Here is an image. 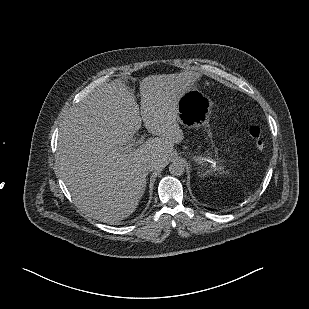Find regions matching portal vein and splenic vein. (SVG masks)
Segmentation results:
<instances>
[{
	"label": "portal vein and splenic vein",
	"instance_id": "portal-vein-and-splenic-vein-1",
	"mask_svg": "<svg viewBox=\"0 0 309 309\" xmlns=\"http://www.w3.org/2000/svg\"><path fill=\"white\" fill-rule=\"evenodd\" d=\"M141 143H142V140H141V141L136 142L135 146H138V145H140Z\"/></svg>",
	"mask_w": 309,
	"mask_h": 309
}]
</instances>
